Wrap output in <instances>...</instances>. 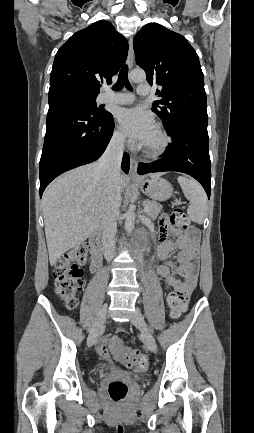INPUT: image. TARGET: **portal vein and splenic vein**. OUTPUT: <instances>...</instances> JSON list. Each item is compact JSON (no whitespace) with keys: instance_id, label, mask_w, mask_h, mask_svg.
I'll return each mask as SVG.
<instances>
[{"instance_id":"1","label":"portal vein and splenic vein","mask_w":254,"mask_h":433,"mask_svg":"<svg viewBox=\"0 0 254 433\" xmlns=\"http://www.w3.org/2000/svg\"><path fill=\"white\" fill-rule=\"evenodd\" d=\"M149 211V206H145L144 212L147 213Z\"/></svg>"}]
</instances>
